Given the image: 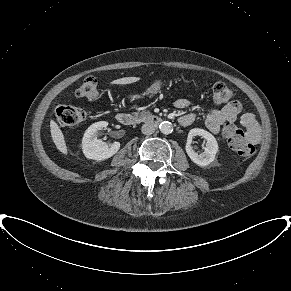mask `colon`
Here are the masks:
<instances>
[{
  "label": "colon",
  "mask_w": 291,
  "mask_h": 291,
  "mask_svg": "<svg viewBox=\"0 0 291 291\" xmlns=\"http://www.w3.org/2000/svg\"><path fill=\"white\" fill-rule=\"evenodd\" d=\"M75 96L95 101L99 97L97 80L94 77L86 78L75 89ZM212 97L216 105H223L231 99L232 91L224 83L218 82L213 86ZM55 115L62 126L72 127L83 122L88 116V111L71 105H60L56 108ZM222 133L229 146L239 156L250 157L254 154V144L246 138L244 132L233 121L224 124Z\"/></svg>",
  "instance_id": "colon-1"
}]
</instances>
